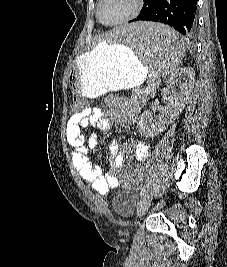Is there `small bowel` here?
Wrapping results in <instances>:
<instances>
[{"label":"small bowel","mask_w":227,"mask_h":267,"mask_svg":"<svg viewBox=\"0 0 227 267\" xmlns=\"http://www.w3.org/2000/svg\"><path fill=\"white\" fill-rule=\"evenodd\" d=\"M140 106L138 103L122 98L117 101L116 109L105 112L98 107H87L80 115H71L66 125V139L73 147L72 163L80 177L87 181L98 193H107L119 184L115 168L121 166L126 158L134 157L138 161H145L149 157L148 145L136 138H131L121 153V146L117 142L108 145L109 163L112 167L105 175L100 168L92 165L87 157L88 147L95 148L99 144L98 132H106L113 121L122 124H136ZM82 129L88 131V141Z\"/></svg>","instance_id":"obj_1"}]
</instances>
